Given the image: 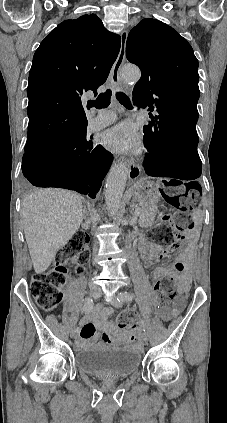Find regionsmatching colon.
Returning <instances> with one entry per match:
<instances>
[{
    "instance_id": "5ec220e1",
    "label": "colon",
    "mask_w": 227,
    "mask_h": 423,
    "mask_svg": "<svg viewBox=\"0 0 227 423\" xmlns=\"http://www.w3.org/2000/svg\"><path fill=\"white\" fill-rule=\"evenodd\" d=\"M161 193L165 201L176 211L163 216L160 224L150 230L149 236L154 243L169 250H177L181 246L177 234L192 226L189 213L199 204V185L195 182L186 184L167 182L162 185ZM87 243L88 235L81 231L77 232L56 254L52 267L32 279L30 293L43 310L51 311L61 302L67 279V264L75 259L79 265L78 271L81 270L87 260ZM154 289L159 307H168L176 296V285L170 277L157 281ZM117 324L123 330H131L135 325L131 313L121 315Z\"/></svg>"
}]
</instances>
